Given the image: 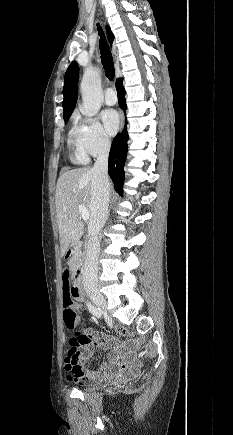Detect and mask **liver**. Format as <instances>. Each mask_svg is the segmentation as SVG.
I'll return each mask as SVG.
<instances>
[{
	"label": "liver",
	"mask_w": 233,
	"mask_h": 435,
	"mask_svg": "<svg viewBox=\"0 0 233 435\" xmlns=\"http://www.w3.org/2000/svg\"><path fill=\"white\" fill-rule=\"evenodd\" d=\"M92 169L76 168L63 172L56 186L55 205L60 235L61 255L83 234L79 205L90 213Z\"/></svg>",
	"instance_id": "liver-1"
}]
</instances>
